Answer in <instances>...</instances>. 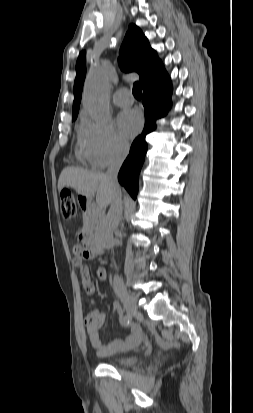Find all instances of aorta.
<instances>
[{"instance_id": "762f6f07", "label": "aorta", "mask_w": 253, "mask_h": 413, "mask_svg": "<svg viewBox=\"0 0 253 413\" xmlns=\"http://www.w3.org/2000/svg\"><path fill=\"white\" fill-rule=\"evenodd\" d=\"M111 84L104 70L92 69L85 81L83 103L92 117L100 122L110 117L109 93Z\"/></svg>"}]
</instances>
